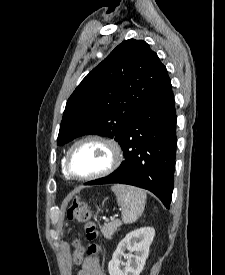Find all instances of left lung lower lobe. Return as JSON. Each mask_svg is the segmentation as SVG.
I'll return each mask as SVG.
<instances>
[{"mask_svg":"<svg viewBox=\"0 0 225 275\" xmlns=\"http://www.w3.org/2000/svg\"><path fill=\"white\" fill-rule=\"evenodd\" d=\"M176 110L170 78L143 106L120 143L124 160L107 177L86 185L123 183L154 193L170 207L176 157Z\"/></svg>","mask_w":225,"mask_h":275,"instance_id":"0a47b994","label":"left lung lower lobe"}]
</instances>
